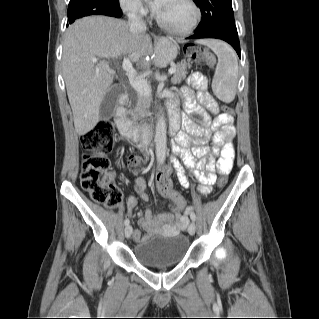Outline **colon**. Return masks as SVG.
I'll list each match as a JSON object with an SVG mask.
<instances>
[{
	"label": "colon",
	"instance_id": "1",
	"mask_svg": "<svg viewBox=\"0 0 319 319\" xmlns=\"http://www.w3.org/2000/svg\"><path fill=\"white\" fill-rule=\"evenodd\" d=\"M184 52L186 56L194 61L202 58L212 60L204 51L194 45H185ZM229 113L232 108L226 105L213 104L211 111L213 113L218 110ZM116 128L112 122H103L97 125L93 130L85 134L82 139V146L86 150L81 165V181L82 187L89 194L90 198L109 209H117L123 203L122 193L117 189L110 175V162L107 154L110 153L115 143ZM123 155V154H122ZM127 166L136 168L141 163V158L136 154H129L125 160L120 159ZM227 182L225 175L218 179V187L223 188ZM171 188L169 179L163 178L159 180V189L165 190ZM182 205L174 204L173 215L177 216L181 213Z\"/></svg>",
	"mask_w": 319,
	"mask_h": 319
}]
</instances>
